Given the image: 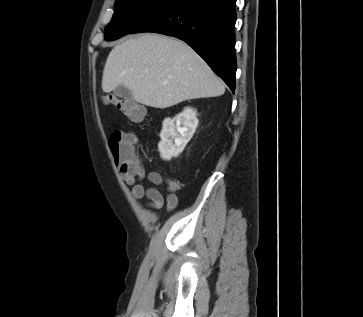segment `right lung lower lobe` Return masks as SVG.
<instances>
[{"label":"right lung lower lobe","instance_id":"1","mask_svg":"<svg viewBox=\"0 0 363 317\" xmlns=\"http://www.w3.org/2000/svg\"><path fill=\"white\" fill-rule=\"evenodd\" d=\"M236 0H177L130 33L156 32L191 46L234 93Z\"/></svg>","mask_w":363,"mask_h":317}]
</instances>
